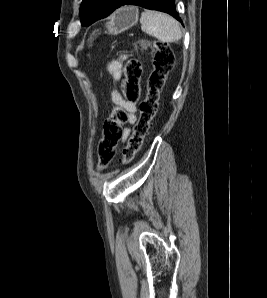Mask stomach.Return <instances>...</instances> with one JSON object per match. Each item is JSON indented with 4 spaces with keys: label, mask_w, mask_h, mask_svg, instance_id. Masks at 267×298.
Wrapping results in <instances>:
<instances>
[{
    "label": "stomach",
    "mask_w": 267,
    "mask_h": 298,
    "mask_svg": "<svg viewBox=\"0 0 267 298\" xmlns=\"http://www.w3.org/2000/svg\"><path fill=\"white\" fill-rule=\"evenodd\" d=\"M138 21V9L133 6H125L117 9L109 17L106 23L107 33L119 34L131 27Z\"/></svg>",
    "instance_id": "0dacf381"
}]
</instances>
